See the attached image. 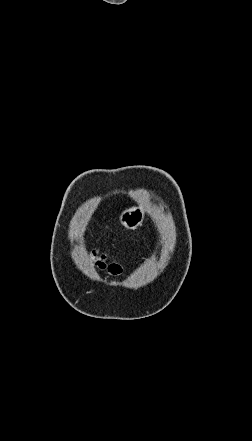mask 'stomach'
Returning <instances> with one entry per match:
<instances>
[{
  "instance_id": "1",
  "label": "stomach",
  "mask_w": 252,
  "mask_h": 441,
  "mask_svg": "<svg viewBox=\"0 0 252 441\" xmlns=\"http://www.w3.org/2000/svg\"><path fill=\"white\" fill-rule=\"evenodd\" d=\"M144 215L145 212L142 207H131L120 214L119 221L125 228L135 230L142 225Z\"/></svg>"
}]
</instances>
